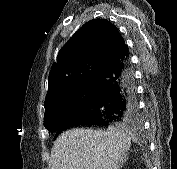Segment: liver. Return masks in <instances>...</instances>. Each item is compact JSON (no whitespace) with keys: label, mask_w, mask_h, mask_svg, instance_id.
Returning <instances> with one entry per match:
<instances>
[{"label":"liver","mask_w":177,"mask_h":169,"mask_svg":"<svg viewBox=\"0 0 177 169\" xmlns=\"http://www.w3.org/2000/svg\"><path fill=\"white\" fill-rule=\"evenodd\" d=\"M130 146L131 136L125 127L71 129L55 140L51 169H118L127 160Z\"/></svg>","instance_id":"liver-1"}]
</instances>
